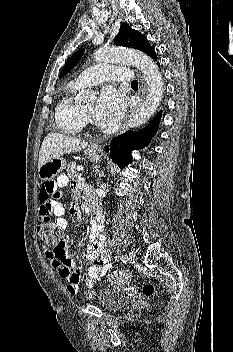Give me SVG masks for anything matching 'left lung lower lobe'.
<instances>
[{
  "label": "left lung lower lobe",
  "mask_w": 233,
  "mask_h": 352,
  "mask_svg": "<svg viewBox=\"0 0 233 352\" xmlns=\"http://www.w3.org/2000/svg\"><path fill=\"white\" fill-rule=\"evenodd\" d=\"M159 65V63H157ZM161 113H157L154 119L140 131H127L112 139L109 146H105L106 151L110 152L112 160L120 167L127 166L132 161L131 152L146 146L156 133Z\"/></svg>",
  "instance_id": "1"
}]
</instances>
